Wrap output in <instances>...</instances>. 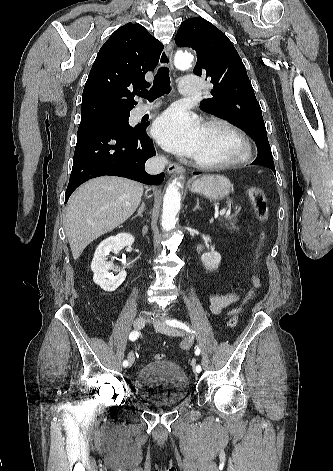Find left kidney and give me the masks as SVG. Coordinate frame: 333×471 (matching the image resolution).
<instances>
[{
  "mask_svg": "<svg viewBox=\"0 0 333 471\" xmlns=\"http://www.w3.org/2000/svg\"><path fill=\"white\" fill-rule=\"evenodd\" d=\"M201 260L206 270L213 271L218 268L221 261V255L219 252L211 250L210 252L202 254Z\"/></svg>",
  "mask_w": 333,
  "mask_h": 471,
  "instance_id": "5707ae66",
  "label": "left kidney"
}]
</instances>
